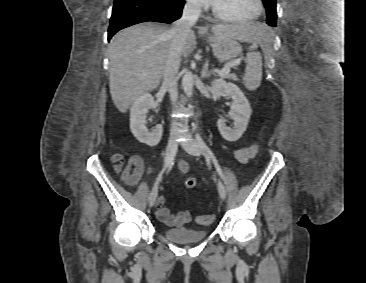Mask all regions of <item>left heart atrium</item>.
I'll use <instances>...</instances> for the list:
<instances>
[{"label":"left heart atrium","instance_id":"1","mask_svg":"<svg viewBox=\"0 0 366 283\" xmlns=\"http://www.w3.org/2000/svg\"><path fill=\"white\" fill-rule=\"evenodd\" d=\"M203 3H210V4H214L216 0H200Z\"/></svg>","mask_w":366,"mask_h":283}]
</instances>
